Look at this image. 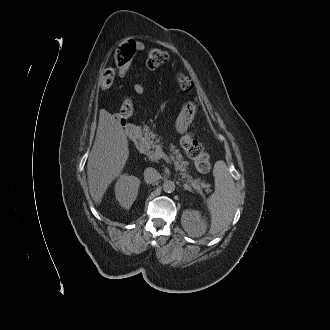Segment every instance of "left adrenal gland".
Returning a JSON list of instances; mask_svg holds the SVG:
<instances>
[{
    "mask_svg": "<svg viewBox=\"0 0 330 330\" xmlns=\"http://www.w3.org/2000/svg\"><path fill=\"white\" fill-rule=\"evenodd\" d=\"M184 189H185V190H188V191H190V192L193 191L190 187H187L186 185H184Z\"/></svg>",
    "mask_w": 330,
    "mask_h": 330,
    "instance_id": "1",
    "label": "left adrenal gland"
}]
</instances>
